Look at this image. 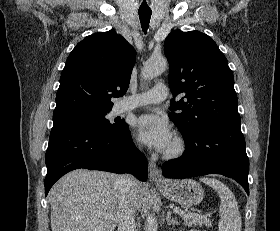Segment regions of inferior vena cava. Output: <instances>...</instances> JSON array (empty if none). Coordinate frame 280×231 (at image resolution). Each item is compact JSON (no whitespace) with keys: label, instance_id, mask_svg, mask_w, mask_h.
<instances>
[{"label":"inferior vena cava","instance_id":"1","mask_svg":"<svg viewBox=\"0 0 280 231\" xmlns=\"http://www.w3.org/2000/svg\"><path fill=\"white\" fill-rule=\"evenodd\" d=\"M137 183L133 175H121L118 179L120 189L119 213L117 215L118 231H137L135 225V209L131 203L130 189Z\"/></svg>","mask_w":280,"mask_h":231}]
</instances>
